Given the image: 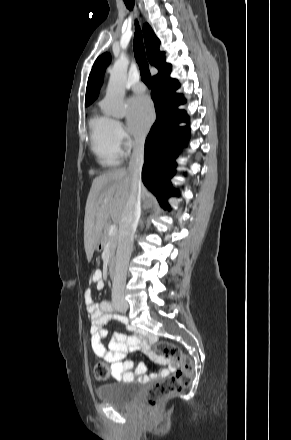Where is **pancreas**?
Segmentation results:
<instances>
[{
    "label": "pancreas",
    "mask_w": 291,
    "mask_h": 440,
    "mask_svg": "<svg viewBox=\"0 0 291 440\" xmlns=\"http://www.w3.org/2000/svg\"><path fill=\"white\" fill-rule=\"evenodd\" d=\"M101 241L104 246L106 244H109L110 262H113L114 258H115L116 247L118 245V234L109 235V225L108 224H105V226H104V231L101 235Z\"/></svg>",
    "instance_id": "pancreas-1"
}]
</instances>
